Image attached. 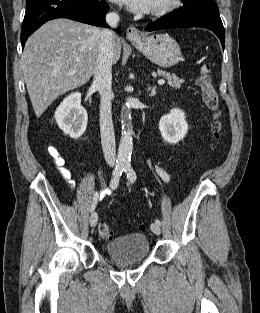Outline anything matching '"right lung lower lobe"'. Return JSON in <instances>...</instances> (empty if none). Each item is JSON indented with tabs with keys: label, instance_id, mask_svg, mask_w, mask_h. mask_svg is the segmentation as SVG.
<instances>
[{
	"label": "right lung lower lobe",
	"instance_id": "98d812e1",
	"mask_svg": "<svg viewBox=\"0 0 260 313\" xmlns=\"http://www.w3.org/2000/svg\"><path fill=\"white\" fill-rule=\"evenodd\" d=\"M109 5L103 0H27L21 29V44L48 20L69 18L90 25L108 27Z\"/></svg>",
	"mask_w": 260,
	"mask_h": 313
}]
</instances>
